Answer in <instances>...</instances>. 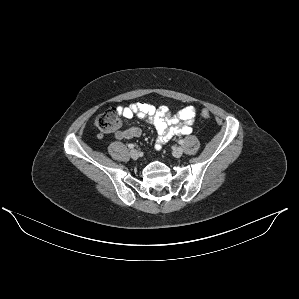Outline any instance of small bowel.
Masks as SVG:
<instances>
[{
  "label": "small bowel",
  "instance_id": "c3829d8e",
  "mask_svg": "<svg viewBox=\"0 0 299 299\" xmlns=\"http://www.w3.org/2000/svg\"><path fill=\"white\" fill-rule=\"evenodd\" d=\"M117 112L125 118L137 116L145 119L154 125L157 131L155 149L160 151L174 136L188 135L191 133V125L196 115L195 109L191 106L179 110L175 114L169 112L168 107L159 108L143 102L130 105H118ZM142 130L139 127H130L115 132L119 140L139 138Z\"/></svg>",
  "mask_w": 299,
  "mask_h": 299
}]
</instances>
